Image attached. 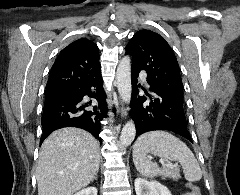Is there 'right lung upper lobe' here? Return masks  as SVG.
Listing matches in <instances>:
<instances>
[{
    "label": "right lung upper lobe",
    "mask_w": 240,
    "mask_h": 195,
    "mask_svg": "<svg viewBox=\"0 0 240 195\" xmlns=\"http://www.w3.org/2000/svg\"><path fill=\"white\" fill-rule=\"evenodd\" d=\"M100 76L99 48L90 40L79 39L59 54L51 68L46 91L78 86Z\"/></svg>",
    "instance_id": "right-lung-upper-lobe-1"
}]
</instances>
